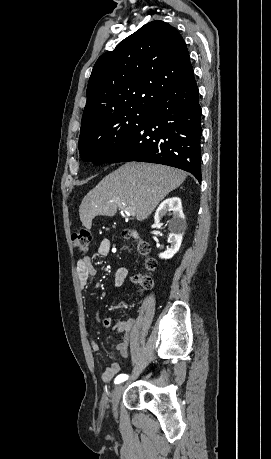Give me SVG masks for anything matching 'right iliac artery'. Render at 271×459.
<instances>
[{
	"mask_svg": "<svg viewBox=\"0 0 271 459\" xmlns=\"http://www.w3.org/2000/svg\"><path fill=\"white\" fill-rule=\"evenodd\" d=\"M127 379H128V375H126V374H120V375H118V376L115 378L114 383H115V384H119V383H121V382H123V381H125V380H127Z\"/></svg>",
	"mask_w": 271,
	"mask_h": 459,
	"instance_id": "right-iliac-artery-1",
	"label": "right iliac artery"
}]
</instances>
